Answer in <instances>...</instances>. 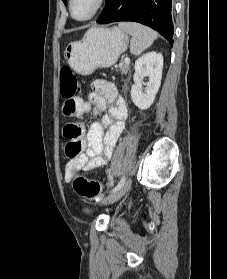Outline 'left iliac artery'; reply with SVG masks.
Wrapping results in <instances>:
<instances>
[{"label":"left iliac artery","instance_id":"left-iliac-artery-1","mask_svg":"<svg viewBox=\"0 0 227 279\" xmlns=\"http://www.w3.org/2000/svg\"><path fill=\"white\" fill-rule=\"evenodd\" d=\"M125 181H126V178L123 176L121 178L120 182L111 190V193H113V192L117 191L118 189H120L124 185Z\"/></svg>","mask_w":227,"mask_h":279}]
</instances>
